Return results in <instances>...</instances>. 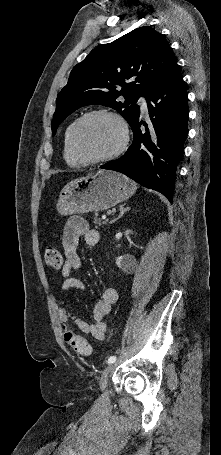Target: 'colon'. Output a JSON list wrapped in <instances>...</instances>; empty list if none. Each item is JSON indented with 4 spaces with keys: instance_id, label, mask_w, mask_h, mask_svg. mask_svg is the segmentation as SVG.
I'll list each match as a JSON object with an SVG mask.
<instances>
[{
    "instance_id": "colon-1",
    "label": "colon",
    "mask_w": 221,
    "mask_h": 455,
    "mask_svg": "<svg viewBox=\"0 0 221 455\" xmlns=\"http://www.w3.org/2000/svg\"><path fill=\"white\" fill-rule=\"evenodd\" d=\"M43 258L45 264L52 269H61L64 265L60 251L54 247L44 249ZM65 342L79 355L89 356L92 352L89 342L80 335L73 332L66 324L63 326Z\"/></svg>"
}]
</instances>
